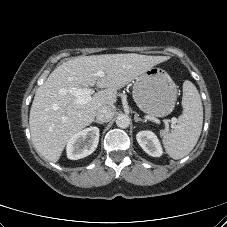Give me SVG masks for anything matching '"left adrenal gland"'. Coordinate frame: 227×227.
<instances>
[{
    "label": "left adrenal gland",
    "mask_w": 227,
    "mask_h": 227,
    "mask_svg": "<svg viewBox=\"0 0 227 227\" xmlns=\"http://www.w3.org/2000/svg\"><path fill=\"white\" fill-rule=\"evenodd\" d=\"M135 122L141 121V122H145L143 119L139 118L138 115H135Z\"/></svg>",
    "instance_id": "1"
}]
</instances>
